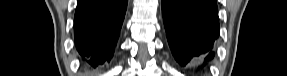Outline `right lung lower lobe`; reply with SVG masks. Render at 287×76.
Instances as JSON below:
<instances>
[{
    "instance_id": "1",
    "label": "right lung lower lobe",
    "mask_w": 287,
    "mask_h": 76,
    "mask_svg": "<svg viewBox=\"0 0 287 76\" xmlns=\"http://www.w3.org/2000/svg\"><path fill=\"white\" fill-rule=\"evenodd\" d=\"M126 7L127 0H78L74 16L75 43L90 68L110 62Z\"/></svg>"
}]
</instances>
